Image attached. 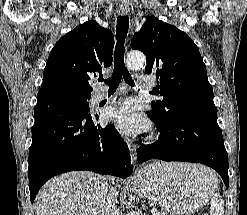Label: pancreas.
Masks as SVG:
<instances>
[{"mask_svg": "<svg viewBox=\"0 0 247 215\" xmlns=\"http://www.w3.org/2000/svg\"><path fill=\"white\" fill-rule=\"evenodd\" d=\"M160 215H172V214L169 213V212H167V211L162 210V211L160 212Z\"/></svg>", "mask_w": 247, "mask_h": 215, "instance_id": "obj_1", "label": "pancreas"}]
</instances>
